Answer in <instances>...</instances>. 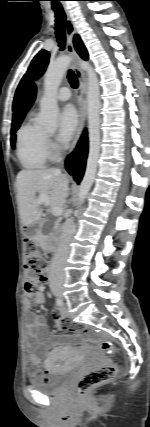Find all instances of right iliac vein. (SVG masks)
Listing matches in <instances>:
<instances>
[{
    "label": "right iliac vein",
    "instance_id": "63e3f726",
    "mask_svg": "<svg viewBox=\"0 0 150 427\" xmlns=\"http://www.w3.org/2000/svg\"><path fill=\"white\" fill-rule=\"evenodd\" d=\"M55 295L61 296V292L60 291H55Z\"/></svg>",
    "mask_w": 150,
    "mask_h": 427
}]
</instances>
